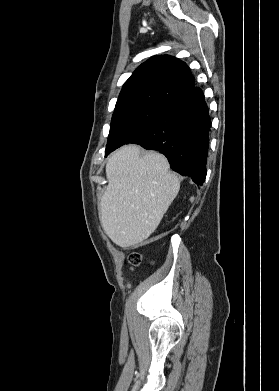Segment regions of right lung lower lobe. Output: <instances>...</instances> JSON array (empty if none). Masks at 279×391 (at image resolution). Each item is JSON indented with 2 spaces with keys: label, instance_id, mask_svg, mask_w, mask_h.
<instances>
[{
  "label": "right lung lower lobe",
  "instance_id": "1",
  "mask_svg": "<svg viewBox=\"0 0 279 391\" xmlns=\"http://www.w3.org/2000/svg\"><path fill=\"white\" fill-rule=\"evenodd\" d=\"M210 127L203 92L194 87L165 104L153 121L125 144L162 152L174 171L201 186L206 177Z\"/></svg>",
  "mask_w": 279,
  "mask_h": 391
}]
</instances>
